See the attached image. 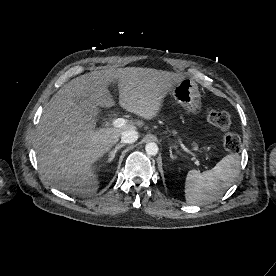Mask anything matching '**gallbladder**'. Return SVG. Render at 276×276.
<instances>
[{
  "mask_svg": "<svg viewBox=\"0 0 276 276\" xmlns=\"http://www.w3.org/2000/svg\"><path fill=\"white\" fill-rule=\"evenodd\" d=\"M74 101L77 105H79L80 108H82L84 111H86L88 114H90L93 117H96L99 115L100 110L97 106L89 103L88 101L79 98V97H75Z\"/></svg>",
  "mask_w": 276,
  "mask_h": 276,
  "instance_id": "1",
  "label": "gallbladder"
}]
</instances>
